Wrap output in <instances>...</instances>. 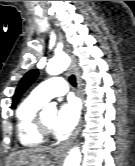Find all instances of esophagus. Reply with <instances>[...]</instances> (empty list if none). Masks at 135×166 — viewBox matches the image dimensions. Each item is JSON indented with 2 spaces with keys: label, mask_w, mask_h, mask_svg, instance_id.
Instances as JSON below:
<instances>
[{
  "label": "esophagus",
  "mask_w": 135,
  "mask_h": 166,
  "mask_svg": "<svg viewBox=\"0 0 135 166\" xmlns=\"http://www.w3.org/2000/svg\"><path fill=\"white\" fill-rule=\"evenodd\" d=\"M65 51H66L67 53L70 52V49H69L68 46H65ZM69 68H70V70H71V71L75 74V76H76L77 84H78V90H79L78 93H79V96H80V98H81V100H82V103H83V102H84V95H83V93H82V91H81V89H82V81H81V79H80L79 72H78L77 69L75 68V65H74L73 61H71ZM82 122H83L82 119H80V122H79L77 128L75 129V131L72 133L71 137H70L67 141H65L64 143L60 144L57 148H55V149H54V152H55V153H60V152L64 151L65 149H67V148L72 144V142L74 141V139L76 138V136L78 135V133H79V131H80V129H81Z\"/></svg>",
  "instance_id": "obj_1"
}]
</instances>
